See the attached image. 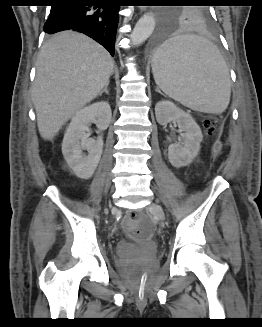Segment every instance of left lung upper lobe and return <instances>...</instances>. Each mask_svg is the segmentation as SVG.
<instances>
[{"mask_svg": "<svg viewBox=\"0 0 262 327\" xmlns=\"http://www.w3.org/2000/svg\"><path fill=\"white\" fill-rule=\"evenodd\" d=\"M180 3H203V0H177ZM185 25H211L212 16L205 6H189L182 9H165L161 12V29Z\"/></svg>", "mask_w": 262, "mask_h": 327, "instance_id": "left-lung-upper-lobe-1", "label": "left lung upper lobe"}]
</instances>
